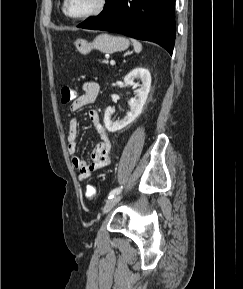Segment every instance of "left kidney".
Instances as JSON below:
<instances>
[{"label": "left kidney", "mask_w": 243, "mask_h": 289, "mask_svg": "<svg viewBox=\"0 0 243 289\" xmlns=\"http://www.w3.org/2000/svg\"><path fill=\"white\" fill-rule=\"evenodd\" d=\"M135 79H140L142 84L135 83ZM124 82L126 85L139 88L135 90V98L128 102L130 111L122 120L113 122L111 120V115L114 112V108L109 106L106 109L104 114V124L109 132H116L123 129L141 114L150 91L151 75L145 68H136L124 78Z\"/></svg>", "instance_id": "obj_1"}]
</instances>
